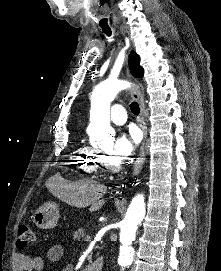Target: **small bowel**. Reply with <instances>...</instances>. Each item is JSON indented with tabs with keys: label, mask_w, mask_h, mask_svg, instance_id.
<instances>
[{
	"label": "small bowel",
	"mask_w": 221,
	"mask_h": 271,
	"mask_svg": "<svg viewBox=\"0 0 221 271\" xmlns=\"http://www.w3.org/2000/svg\"><path fill=\"white\" fill-rule=\"evenodd\" d=\"M63 247L60 244L53 245L47 251L46 258L49 262H57L63 256ZM13 271H44L45 260L34 254L17 253L12 260ZM71 265H66L62 271H72Z\"/></svg>",
	"instance_id": "obj_1"
}]
</instances>
